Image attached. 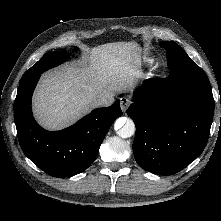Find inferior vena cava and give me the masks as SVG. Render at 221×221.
Returning <instances> with one entry per match:
<instances>
[{"mask_svg": "<svg viewBox=\"0 0 221 221\" xmlns=\"http://www.w3.org/2000/svg\"><path fill=\"white\" fill-rule=\"evenodd\" d=\"M114 102V95L100 96L94 100V104L98 107L109 106Z\"/></svg>", "mask_w": 221, "mask_h": 221, "instance_id": "obj_1", "label": "inferior vena cava"}]
</instances>
